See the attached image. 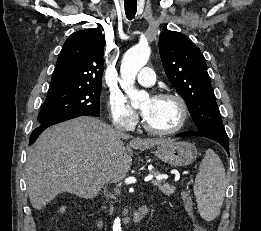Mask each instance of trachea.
Here are the masks:
<instances>
[{
  "mask_svg": "<svg viewBox=\"0 0 261 231\" xmlns=\"http://www.w3.org/2000/svg\"><path fill=\"white\" fill-rule=\"evenodd\" d=\"M125 13L129 20H132L135 17L137 11V1L136 0H125Z\"/></svg>",
  "mask_w": 261,
  "mask_h": 231,
  "instance_id": "1",
  "label": "trachea"
}]
</instances>
